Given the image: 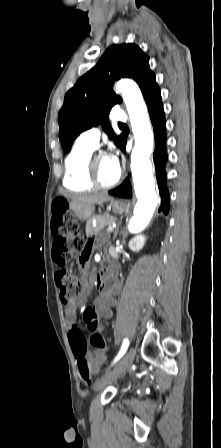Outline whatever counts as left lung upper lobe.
<instances>
[{
	"mask_svg": "<svg viewBox=\"0 0 221 448\" xmlns=\"http://www.w3.org/2000/svg\"><path fill=\"white\" fill-rule=\"evenodd\" d=\"M122 77L133 78L143 96L158 86L149 67V57L136 44L112 45L99 62L84 74L64 99L58 121L64 152H69L75 138L83 131L97 126L108 118L111 108L122 102L113 92L114 82ZM107 134L120 148L124 135L116 136L107 123H102Z\"/></svg>",
	"mask_w": 221,
	"mask_h": 448,
	"instance_id": "5c2ea615",
	"label": "left lung upper lobe"
}]
</instances>
